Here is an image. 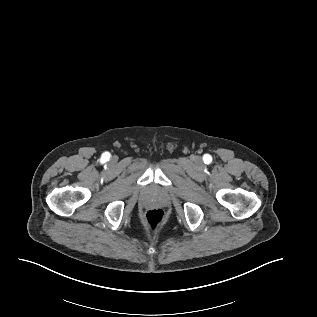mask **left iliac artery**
I'll return each instance as SVG.
<instances>
[{
  "label": "left iliac artery",
  "mask_w": 317,
  "mask_h": 317,
  "mask_svg": "<svg viewBox=\"0 0 317 317\" xmlns=\"http://www.w3.org/2000/svg\"><path fill=\"white\" fill-rule=\"evenodd\" d=\"M204 160H205V163H210V162H211V156L206 155V156L204 157Z\"/></svg>",
  "instance_id": "obj_1"
}]
</instances>
